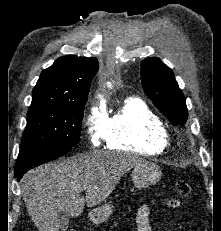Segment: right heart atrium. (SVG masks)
<instances>
[{
    "instance_id": "right-heart-atrium-1",
    "label": "right heart atrium",
    "mask_w": 221,
    "mask_h": 231,
    "mask_svg": "<svg viewBox=\"0 0 221 231\" xmlns=\"http://www.w3.org/2000/svg\"><path fill=\"white\" fill-rule=\"evenodd\" d=\"M108 117L106 109L101 105H93L86 118L87 133L91 143L98 146L105 139Z\"/></svg>"
}]
</instances>
